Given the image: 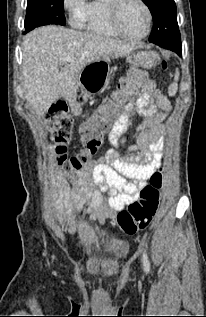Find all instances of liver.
<instances>
[{
    "mask_svg": "<svg viewBox=\"0 0 206 317\" xmlns=\"http://www.w3.org/2000/svg\"><path fill=\"white\" fill-rule=\"evenodd\" d=\"M142 45L61 26L39 27L22 44L23 88L26 100L43 116L60 98L76 97L82 70L94 61L127 56ZM73 56V61H67ZM59 66H63L60 70Z\"/></svg>",
    "mask_w": 206,
    "mask_h": 317,
    "instance_id": "1",
    "label": "liver"
}]
</instances>
